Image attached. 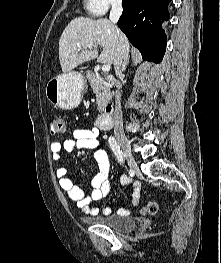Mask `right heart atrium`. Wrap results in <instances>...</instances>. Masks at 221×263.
Segmentation results:
<instances>
[{
    "instance_id": "d8ad5b80",
    "label": "right heart atrium",
    "mask_w": 221,
    "mask_h": 263,
    "mask_svg": "<svg viewBox=\"0 0 221 263\" xmlns=\"http://www.w3.org/2000/svg\"><path fill=\"white\" fill-rule=\"evenodd\" d=\"M122 0H87L88 11L95 16L105 14L111 7L120 5Z\"/></svg>"
}]
</instances>
